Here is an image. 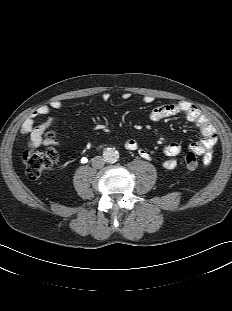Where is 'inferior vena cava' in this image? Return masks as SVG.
I'll list each match as a JSON object with an SVG mask.
<instances>
[{"label":"inferior vena cava","instance_id":"1","mask_svg":"<svg viewBox=\"0 0 232 311\" xmlns=\"http://www.w3.org/2000/svg\"><path fill=\"white\" fill-rule=\"evenodd\" d=\"M105 160L101 156H95L92 158V166L96 169H100L104 166Z\"/></svg>","mask_w":232,"mask_h":311}]
</instances>
